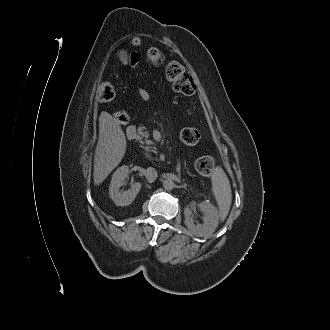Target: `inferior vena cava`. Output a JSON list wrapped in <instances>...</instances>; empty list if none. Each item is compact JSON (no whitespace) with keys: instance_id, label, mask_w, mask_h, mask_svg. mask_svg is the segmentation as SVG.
<instances>
[{"instance_id":"obj_1","label":"inferior vena cava","mask_w":330,"mask_h":330,"mask_svg":"<svg viewBox=\"0 0 330 330\" xmlns=\"http://www.w3.org/2000/svg\"><path fill=\"white\" fill-rule=\"evenodd\" d=\"M157 176H158V173L154 168L149 167L145 170V177L148 182H150V183L154 182L156 180Z\"/></svg>"}]
</instances>
